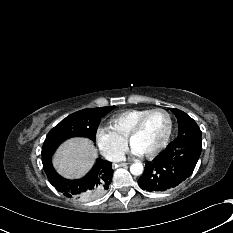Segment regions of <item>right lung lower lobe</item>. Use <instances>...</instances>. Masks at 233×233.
<instances>
[{"label": "right lung lower lobe", "instance_id": "98d812e1", "mask_svg": "<svg viewBox=\"0 0 233 233\" xmlns=\"http://www.w3.org/2000/svg\"><path fill=\"white\" fill-rule=\"evenodd\" d=\"M49 182L68 198L90 200L102 195L112 181V163L97 159L94 168L83 178L69 180L61 177L54 169L51 157L42 159Z\"/></svg>", "mask_w": 233, "mask_h": 233}]
</instances>
